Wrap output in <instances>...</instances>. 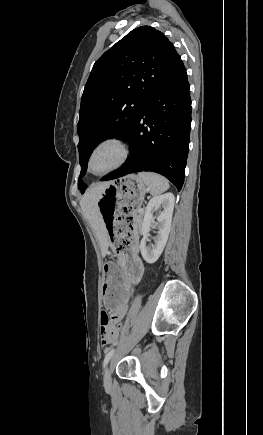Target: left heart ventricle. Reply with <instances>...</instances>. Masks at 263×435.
Masks as SVG:
<instances>
[{"instance_id": "b2bd125f", "label": "left heart ventricle", "mask_w": 263, "mask_h": 435, "mask_svg": "<svg viewBox=\"0 0 263 435\" xmlns=\"http://www.w3.org/2000/svg\"><path fill=\"white\" fill-rule=\"evenodd\" d=\"M120 157L121 151L117 146L112 144L102 146L91 160V170L94 173H102L117 164Z\"/></svg>"}]
</instances>
